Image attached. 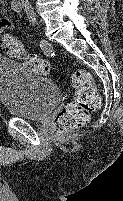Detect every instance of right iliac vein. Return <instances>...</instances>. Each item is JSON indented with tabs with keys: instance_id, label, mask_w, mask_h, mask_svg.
<instances>
[{
	"instance_id": "obj_1",
	"label": "right iliac vein",
	"mask_w": 123,
	"mask_h": 201,
	"mask_svg": "<svg viewBox=\"0 0 123 201\" xmlns=\"http://www.w3.org/2000/svg\"><path fill=\"white\" fill-rule=\"evenodd\" d=\"M30 15H31V18L36 22V16H35V14L33 12H31Z\"/></svg>"
}]
</instances>
